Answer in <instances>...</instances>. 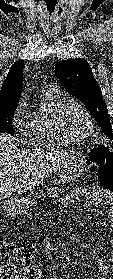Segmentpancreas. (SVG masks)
<instances>
[{
  "mask_svg": "<svg viewBox=\"0 0 113 279\" xmlns=\"http://www.w3.org/2000/svg\"><path fill=\"white\" fill-rule=\"evenodd\" d=\"M57 186L47 189V194L50 197H58L59 194L65 193V189L62 186V182L60 180H55L54 182ZM41 200L45 198V195L42 194L40 196Z\"/></svg>",
  "mask_w": 113,
  "mask_h": 279,
  "instance_id": "obj_1",
  "label": "pancreas"
}]
</instances>
